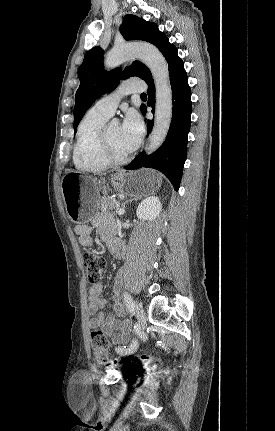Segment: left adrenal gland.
Returning a JSON list of instances; mask_svg holds the SVG:
<instances>
[{
    "mask_svg": "<svg viewBox=\"0 0 275 431\" xmlns=\"http://www.w3.org/2000/svg\"><path fill=\"white\" fill-rule=\"evenodd\" d=\"M139 198H140V197H135V198H133V199L131 198V199H129V200H126L125 202H123V203L121 204V207H122L123 209H125L126 204L131 203L132 201H137Z\"/></svg>",
    "mask_w": 275,
    "mask_h": 431,
    "instance_id": "a2214340",
    "label": "left adrenal gland"
}]
</instances>
